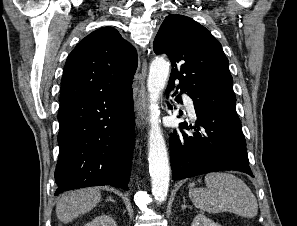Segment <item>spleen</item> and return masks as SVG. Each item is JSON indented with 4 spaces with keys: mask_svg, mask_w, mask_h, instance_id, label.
<instances>
[{
    "mask_svg": "<svg viewBox=\"0 0 297 226\" xmlns=\"http://www.w3.org/2000/svg\"><path fill=\"white\" fill-rule=\"evenodd\" d=\"M204 181L206 188H195L194 182L189 185V197L196 208L208 213L228 211L245 218L257 215V199L240 178L216 172L207 174Z\"/></svg>",
    "mask_w": 297,
    "mask_h": 226,
    "instance_id": "obj_1",
    "label": "spleen"
}]
</instances>
